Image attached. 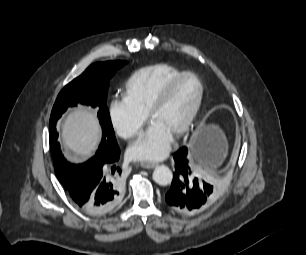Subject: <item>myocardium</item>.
I'll return each instance as SVG.
<instances>
[{
    "instance_id": "1",
    "label": "myocardium",
    "mask_w": 306,
    "mask_h": 255,
    "mask_svg": "<svg viewBox=\"0 0 306 255\" xmlns=\"http://www.w3.org/2000/svg\"><path fill=\"white\" fill-rule=\"evenodd\" d=\"M188 77H192L194 78L199 86V93H198V97L196 99L195 104L193 105L191 111L189 112L187 118L185 119V121L183 122V124L175 131L174 135L175 136H181L184 133H186L191 126L193 125V123L195 122L199 111L201 109L203 100H204V94H205V89H204V85L202 80L200 79V77L190 71H185L182 72L181 74L177 75L176 77H174L173 79H171L165 86L164 88L158 93V95L155 97V99L153 100V102L151 103L148 111H147V118L149 120L152 119V117L154 116V114L164 105V103L166 102V100L169 98V96L171 95V93L173 92V90L176 88V86L185 78Z\"/></svg>"
}]
</instances>
